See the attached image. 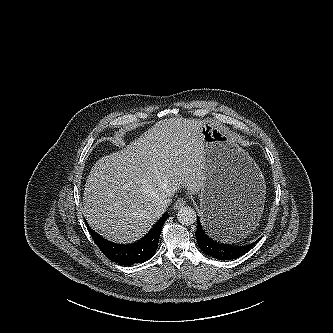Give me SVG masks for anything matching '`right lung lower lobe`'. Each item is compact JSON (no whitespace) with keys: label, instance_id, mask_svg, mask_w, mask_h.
Listing matches in <instances>:
<instances>
[{"label":"right lung lower lobe","instance_id":"obj_1","mask_svg":"<svg viewBox=\"0 0 333 333\" xmlns=\"http://www.w3.org/2000/svg\"><path fill=\"white\" fill-rule=\"evenodd\" d=\"M167 218L168 213L165 212L146 236L138 242L129 245L108 241L89 226L88 228L94 242L108 259L123 266H130L135 263H143L155 254L161 229Z\"/></svg>","mask_w":333,"mask_h":333}]
</instances>
